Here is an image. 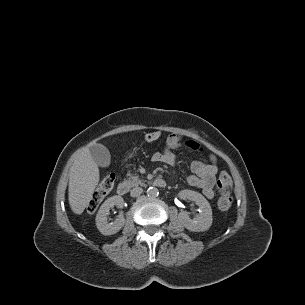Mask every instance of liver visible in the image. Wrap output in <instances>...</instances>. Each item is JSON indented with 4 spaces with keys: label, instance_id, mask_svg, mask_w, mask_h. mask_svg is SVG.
Masks as SVG:
<instances>
[{
    "label": "liver",
    "instance_id": "liver-1",
    "mask_svg": "<svg viewBox=\"0 0 305 305\" xmlns=\"http://www.w3.org/2000/svg\"><path fill=\"white\" fill-rule=\"evenodd\" d=\"M94 144L92 142L77 151L76 159L68 174V199L75 214H81L85 210L99 182V168L89 150Z\"/></svg>",
    "mask_w": 305,
    "mask_h": 305
}]
</instances>
